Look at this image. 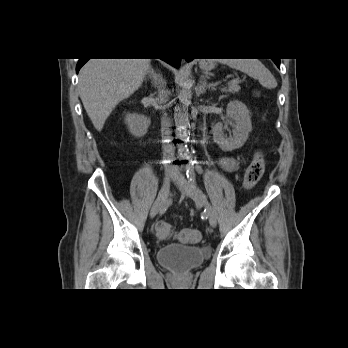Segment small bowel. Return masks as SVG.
I'll return each instance as SVG.
<instances>
[{
  "mask_svg": "<svg viewBox=\"0 0 348 348\" xmlns=\"http://www.w3.org/2000/svg\"><path fill=\"white\" fill-rule=\"evenodd\" d=\"M219 164L221 165V167L228 171V172H235L238 167L239 164L237 162L236 159L232 158V157H222L219 159Z\"/></svg>",
  "mask_w": 348,
  "mask_h": 348,
  "instance_id": "small-bowel-1",
  "label": "small bowel"
}]
</instances>
